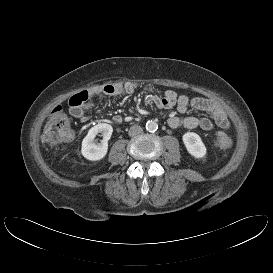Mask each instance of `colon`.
<instances>
[{
    "label": "colon",
    "mask_w": 273,
    "mask_h": 273,
    "mask_svg": "<svg viewBox=\"0 0 273 273\" xmlns=\"http://www.w3.org/2000/svg\"><path fill=\"white\" fill-rule=\"evenodd\" d=\"M89 95L90 91H81L74 95L69 102L74 106H79L88 99ZM73 137L74 131L70 118L61 107L54 108L46 121L43 139L52 145H57L70 141ZM214 144L220 149L228 150L233 147L234 142L224 132H217Z\"/></svg>",
    "instance_id": "colon-1"
}]
</instances>
